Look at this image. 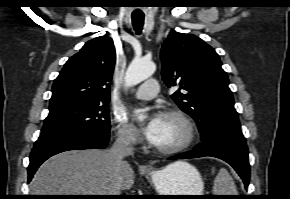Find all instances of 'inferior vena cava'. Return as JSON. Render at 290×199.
I'll return each mask as SVG.
<instances>
[{
	"label": "inferior vena cava",
	"mask_w": 290,
	"mask_h": 199,
	"mask_svg": "<svg viewBox=\"0 0 290 199\" xmlns=\"http://www.w3.org/2000/svg\"><path fill=\"white\" fill-rule=\"evenodd\" d=\"M112 156L118 175L122 172L123 168L128 165L123 159L126 156H131L134 153L133 148V135L129 131H121L118 133V137L113 146L109 150ZM121 190L117 187L111 195H120Z\"/></svg>",
	"instance_id": "inferior-vena-cava-1"
}]
</instances>
